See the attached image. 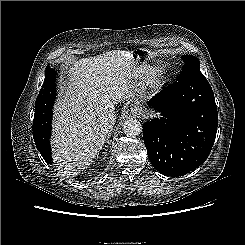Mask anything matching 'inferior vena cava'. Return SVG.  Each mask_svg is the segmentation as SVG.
<instances>
[{"mask_svg": "<svg viewBox=\"0 0 245 245\" xmlns=\"http://www.w3.org/2000/svg\"><path fill=\"white\" fill-rule=\"evenodd\" d=\"M96 113L106 128L111 129L113 127L116 122V115L114 111V105L111 101L105 100L97 107Z\"/></svg>", "mask_w": 245, "mask_h": 245, "instance_id": "inferior-vena-cava-1", "label": "inferior vena cava"}]
</instances>
